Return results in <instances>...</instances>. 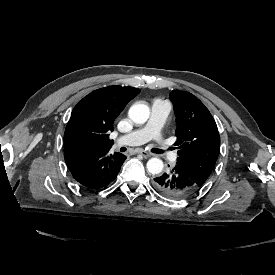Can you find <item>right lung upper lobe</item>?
I'll use <instances>...</instances> for the list:
<instances>
[{
    "label": "right lung upper lobe",
    "instance_id": "obj_1",
    "mask_svg": "<svg viewBox=\"0 0 275 275\" xmlns=\"http://www.w3.org/2000/svg\"><path fill=\"white\" fill-rule=\"evenodd\" d=\"M139 92L138 88L115 85L95 90L80 100L65 129L64 152L111 148L113 122Z\"/></svg>",
    "mask_w": 275,
    "mask_h": 275
}]
</instances>
